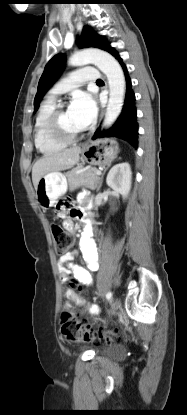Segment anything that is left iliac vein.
Listing matches in <instances>:
<instances>
[{"mask_svg":"<svg viewBox=\"0 0 187 415\" xmlns=\"http://www.w3.org/2000/svg\"><path fill=\"white\" fill-rule=\"evenodd\" d=\"M120 307H121L120 299H115L112 306H111L109 314L110 315H115Z\"/></svg>","mask_w":187,"mask_h":415,"instance_id":"left-iliac-vein-1","label":"left iliac vein"}]
</instances>
